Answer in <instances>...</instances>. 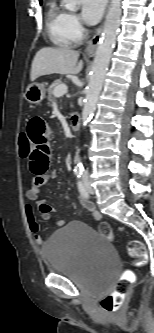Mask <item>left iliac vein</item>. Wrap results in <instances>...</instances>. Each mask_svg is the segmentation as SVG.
<instances>
[{
    "mask_svg": "<svg viewBox=\"0 0 154 333\" xmlns=\"http://www.w3.org/2000/svg\"><path fill=\"white\" fill-rule=\"evenodd\" d=\"M83 183L85 185L86 190L90 193V194H94V189L92 188V186L90 185L89 179L87 175H83L82 177Z\"/></svg>",
    "mask_w": 154,
    "mask_h": 333,
    "instance_id": "4c4485c4",
    "label": "left iliac vein"
}]
</instances>
